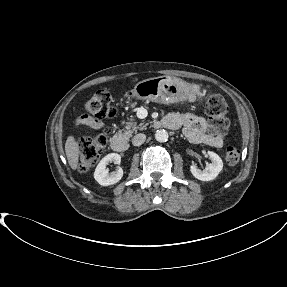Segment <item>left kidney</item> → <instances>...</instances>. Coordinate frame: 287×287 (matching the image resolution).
Returning <instances> with one entry per match:
<instances>
[{
	"instance_id": "left-kidney-1",
	"label": "left kidney",
	"mask_w": 287,
	"mask_h": 287,
	"mask_svg": "<svg viewBox=\"0 0 287 287\" xmlns=\"http://www.w3.org/2000/svg\"><path fill=\"white\" fill-rule=\"evenodd\" d=\"M208 155L211 159V163L204 169L201 170L197 166L192 165L190 171L192 175L201 181L214 180L223 168L222 159L218 154L212 151H208Z\"/></svg>"
}]
</instances>
